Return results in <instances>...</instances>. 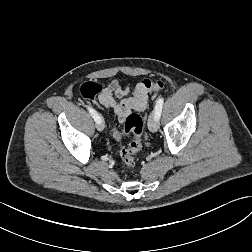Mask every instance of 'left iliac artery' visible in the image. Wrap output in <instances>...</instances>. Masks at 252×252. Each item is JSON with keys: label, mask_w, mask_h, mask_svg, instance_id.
<instances>
[{"label": "left iliac artery", "mask_w": 252, "mask_h": 252, "mask_svg": "<svg viewBox=\"0 0 252 252\" xmlns=\"http://www.w3.org/2000/svg\"><path fill=\"white\" fill-rule=\"evenodd\" d=\"M164 103V99L163 98H159L156 101V105H155V117L157 120H159L160 116H161V111H162V106Z\"/></svg>", "instance_id": "44dca946"}]
</instances>
